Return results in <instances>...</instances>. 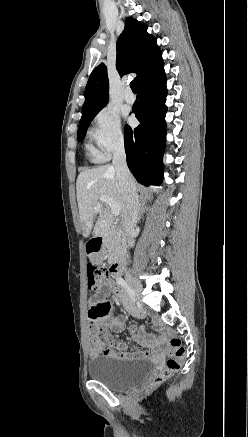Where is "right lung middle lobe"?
<instances>
[{
	"label": "right lung middle lobe",
	"mask_w": 248,
	"mask_h": 437,
	"mask_svg": "<svg viewBox=\"0 0 248 437\" xmlns=\"http://www.w3.org/2000/svg\"><path fill=\"white\" fill-rule=\"evenodd\" d=\"M94 117H95V115L89 116V117L80 121L79 128H78V141L79 142H81L84 139L87 128Z\"/></svg>",
	"instance_id": "dd1d6c3e"
}]
</instances>
